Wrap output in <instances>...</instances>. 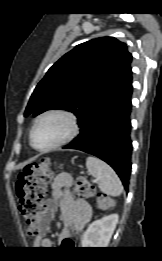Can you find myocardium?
Returning a JSON list of instances; mask_svg holds the SVG:
<instances>
[{
  "label": "myocardium",
  "instance_id": "1",
  "mask_svg": "<svg viewBox=\"0 0 162 261\" xmlns=\"http://www.w3.org/2000/svg\"><path fill=\"white\" fill-rule=\"evenodd\" d=\"M51 116H58V117L65 119L68 124L67 132L59 140L52 143L51 145L43 147V148H39V147L35 146L34 141H33L34 131H35L37 125L43 119H45L47 117H51ZM78 131H79L78 121H77L76 116L72 112L64 110V109H50V110H47V111L41 113L35 119L32 127H31L30 134H29L30 145L35 150L40 151V152L51 151V150L59 148L65 144L69 143L70 141H72L78 134Z\"/></svg>",
  "mask_w": 162,
  "mask_h": 261
}]
</instances>
